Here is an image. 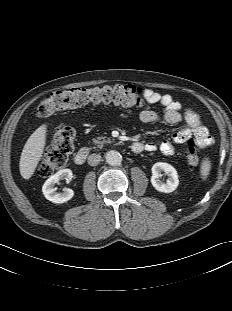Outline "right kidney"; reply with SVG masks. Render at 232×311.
Segmentation results:
<instances>
[{
    "mask_svg": "<svg viewBox=\"0 0 232 311\" xmlns=\"http://www.w3.org/2000/svg\"><path fill=\"white\" fill-rule=\"evenodd\" d=\"M73 178L72 171L70 169H63L50 176L42 187V192L46 199L53 203H64L70 200L74 196V191L69 188H65L63 192H56L54 188L55 184L60 180H66L68 183Z\"/></svg>",
    "mask_w": 232,
    "mask_h": 311,
    "instance_id": "1",
    "label": "right kidney"
}]
</instances>
